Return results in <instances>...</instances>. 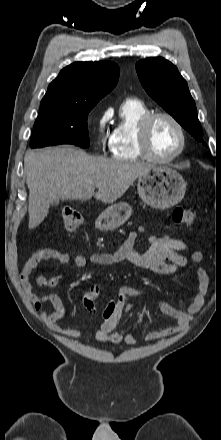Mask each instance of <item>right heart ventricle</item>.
I'll use <instances>...</instances> for the list:
<instances>
[{
	"mask_svg": "<svg viewBox=\"0 0 221 440\" xmlns=\"http://www.w3.org/2000/svg\"><path fill=\"white\" fill-rule=\"evenodd\" d=\"M150 113L147 105L138 99L123 101L119 111V122L114 128L109 147L111 155L118 160H137L144 158L138 144V124Z\"/></svg>",
	"mask_w": 221,
	"mask_h": 440,
	"instance_id": "obj_1",
	"label": "right heart ventricle"
}]
</instances>
